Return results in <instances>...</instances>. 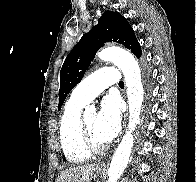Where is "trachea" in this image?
I'll return each mask as SVG.
<instances>
[{"label":"trachea","instance_id":"3493384b","mask_svg":"<svg viewBox=\"0 0 196 182\" xmlns=\"http://www.w3.org/2000/svg\"><path fill=\"white\" fill-rule=\"evenodd\" d=\"M119 86H124V82L123 81H120L119 82Z\"/></svg>","mask_w":196,"mask_h":182}]
</instances>
